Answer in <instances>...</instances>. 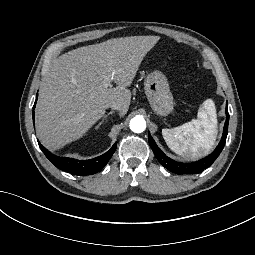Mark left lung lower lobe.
<instances>
[{"label": "left lung lower lobe", "mask_w": 255, "mask_h": 255, "mask_svg": "<svg viewBox=\"0 0 255 255\" xmlns=\"http://www.w3.org/2000/svg\"><path fill=\"white\" fill-rule=\"evenodd\" d=\"M226 122L223 129V135L221 141L217 148L211 153L209 156L205 157L196 162L192 163H180L176 162L170 158H168L156 145L153 138L150 134H148V141L149 145L152 148L155 156L157 157L158 161L169 171L176 173V174H198L201 173L204 169L212 165V163L216 160L219 156L221 151L223 150L226 142V137L228 133V123H229V113L228 109L226 108Z\"/></svg>", "instance_id": "left-lung-lower-lobe-1"}]
</instances>
